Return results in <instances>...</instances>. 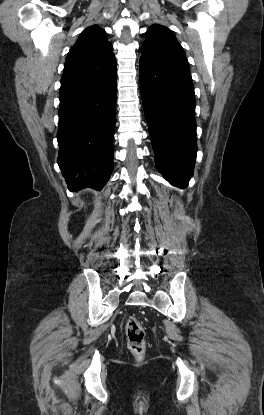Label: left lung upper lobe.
<instances>
[{
  "mask_svg": "<svg viewBox=\"0 0 264 415\" xmlns=\"http://www.w3.org/2000/svg\"><path fill=\"white\" fill-rule=\"evenodd\" d=\"M141 58L161 66L190 71L185 52L175 35L161 25L154 24L147 30Z\"/></svg>",
  "mask_w": 264,
  "mask_h": 415,
  "instance_id": "left-lung-upper-lobe-1",
  "label": "left lung upper lobe"
}]
</instances>
